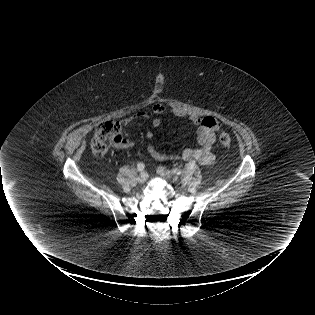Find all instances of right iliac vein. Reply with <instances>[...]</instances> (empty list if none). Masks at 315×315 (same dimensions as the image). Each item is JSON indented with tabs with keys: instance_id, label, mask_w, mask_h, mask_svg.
Instances as JSON below:
<instances>
[{
	"instance_id": "63e3f726",
	"label": "right iliac vein",
	"mask_w": 315,
	"mask_h": 315,
	"mask_svg": "<svg viewBox=\"0 0 315 315\" xmlns=\"http://www.w3.org/2000/svg\"><path fill=\"white\" fill-rule=\"evenodd\" d=\"M147 178H148L147 172H142L138 177V182L140 184H143L147 180Z\"/></svg>"
}]
</instances>
